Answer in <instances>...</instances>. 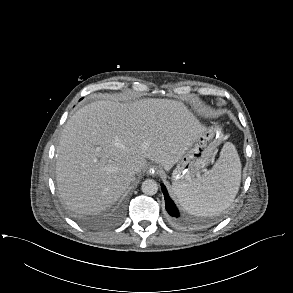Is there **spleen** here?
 <instances>
[{
    "label": "spleen",
    "mask_w": 293,
    "mask_h": 293,
    "mask_svg": "<svg viewBox=\"0 0 293 293\" xmlns=\"http://www.w3.org/2000/svg\"><path fill=\"white\" fill-rule=\"evenodd\" d=\"M241 180V162L235 146L224 144L213 168L179 185L174 193L180 205L197 216L216 215L234 201Z\"/></svg>",
    "instance_id": "1"
}]
</instances>
